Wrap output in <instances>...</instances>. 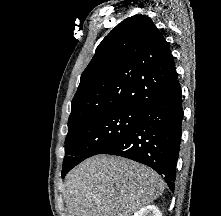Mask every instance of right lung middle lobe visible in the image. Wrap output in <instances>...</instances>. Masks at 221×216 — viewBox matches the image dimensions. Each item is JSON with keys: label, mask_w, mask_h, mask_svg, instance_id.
I'll list each match as a JSON object with an SVG mask.
<instances>
[{"label": "right lung middle lobe", "mask_w": 221, "mask_h": 216, "mask_svg": "<svg viewBox=\"0 0 221 216\" xmlns=\"http://www.w3.org/2000/svg\"><path fill=\"white\" fill-rule=\"evenodd\" d=\"M140 112V108L114 109L68 126L62 176L68 167L101 154L125 137L136 126Z\"/></svg>", "instance_id": "1"}]
</instances>
